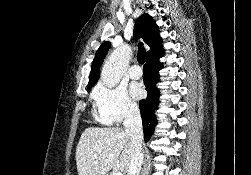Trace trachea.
I'll return each instance as SVG.
<instances>
[{
    "mask_svg": "<svg viewBox=\"0 0 251 175\" xmlns=\"http://www.w3.org/2000/svg\"><path fill=\"white\" fill-rule=\"evenodd\" d=\"M137 60L141 64H143L146 60V50L142 43H139Z\"/></svg>",
    "mask_w": 251,
    "mask_h": 175,
    "instance_id": "trachea-1",
    "label": "trachea"
}]
</instances>
